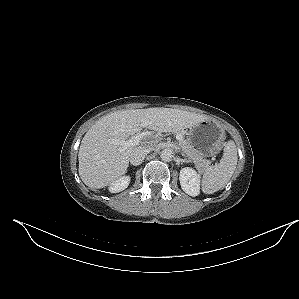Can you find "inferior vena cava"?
<instances>
[{"label":"inferior vena cava","instance_id":"inferior-vena-cava-1","mask_svg":"<svg viewBox=\"0 0 299 299\" xmlns=\"http://www.w3.org/2000/svg\"><path fill=\"white\" fill-rule=\"evenodd\" d=\"M152 150L151 147H136L131 153L129 157V161L132 165L137 166L140 165L145 156Z\"/></svg>","mask_w":299,"mask_h":299}]
</instances>
